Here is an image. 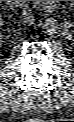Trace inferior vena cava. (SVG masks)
Wrapping results in <instances>:
<instances>
[{"label":"inferior vena cava","instance_id":"obj_1","mask_svg":"<svg viewBox=\"0 0 74 122\" xmlns=\"http://www.w3.org/2000/svg\"><path fill=\"white\" fill-rule=\"evenodd\" d=\"M20 21L24 25H32L34 24L35 17L34 13L31 11H23L20 15Z\"/></svg>","mask_w":74,"mask_h":122}]
</instances>
